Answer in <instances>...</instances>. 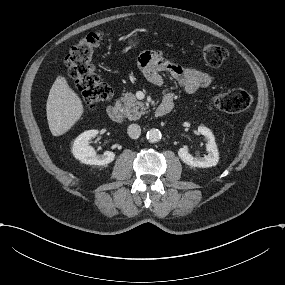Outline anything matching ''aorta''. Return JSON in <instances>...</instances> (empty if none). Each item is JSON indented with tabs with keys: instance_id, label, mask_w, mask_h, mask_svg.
<instances>
[{
	"instance_id": "1",
	"label": "aorta",
	"mask_w": 285,
	"mask_h": 285,
	"mask_svg": "<svg viewBox=\"0 0 285 285\" xmlns=\"http://www.w3.org/2000/svg\"><path fill=\"white\" fill-rule=\"evenodd\" d=\"M147 139L151 143H156L161 140V132L158 129L152 128L147 132Z\"/></svg>"
}]
</instances>
